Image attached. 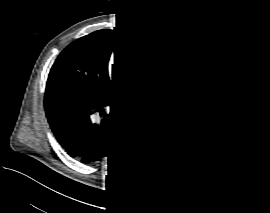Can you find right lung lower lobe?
I'll use <instances>...</instances> for the list:
<instances>
[{"label": "right lung lower lobe", "mask_w": 270, "mask_h": 213, "mask_svg": "<svg viewBox=\"0 0 270 213\" xmlns=\"http://www.w3.org/2000/svg\"><path fill=\"white\" fill-rule=\"evenodd\" d=\"M115 94V90L108 95L83 90L46 92L49 125L69 156L84 164L110 161L114 156L122 131L135 117L127 103H112Z\"/></svg>", "instance_id": "obj_1"}]
</instances>
